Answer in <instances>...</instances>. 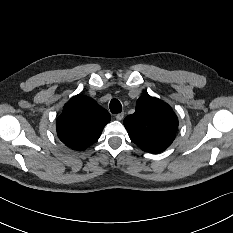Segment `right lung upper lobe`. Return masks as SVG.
<instances>
[{
	"label": "right lung upper lobe",
	"mask_w": 233,
	"mask_h": 233,
	"mask_svg": "<svg viewBox=\"0 0 233 233\" xmlns=\"http://www.w3.org/2000/svg\"><path fill=\"white\" fill-rule=\"evenodd\" d=\"M109 121L108 111L94 99L77 95L65 104L57 118L58 137L74 150H85L99 139Z\"/></svg>",
	"instance_id": "right-lung-upper-lobe-1"
}]
</instances>
